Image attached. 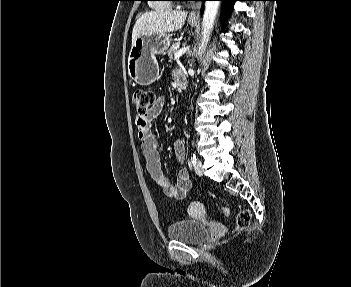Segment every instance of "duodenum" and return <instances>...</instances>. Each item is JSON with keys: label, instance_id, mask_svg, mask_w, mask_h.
Wrapping results in <instances>:
<instances>
[{"label": "duodenum", "instance_id": "1", "mask_svg": "<svg viewBox=\"0 0 351 287\" xmlns=\"http://www.w3.org/2000/svg\"><path fill=\"white\" fill-rule=\"evenodd\" d=\"M179 86H180L181 88H184V87H185V81H184L182 78L179 79Z\"/></svg>", "mask_w": 351, "mask_h": 287}]
</instances>
